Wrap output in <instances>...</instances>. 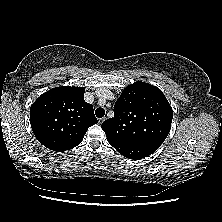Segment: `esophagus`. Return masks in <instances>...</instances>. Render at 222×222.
<instances>
[{
	"label": "esophagus",
	"mask_w": 222,
	"mask_h": 222,
	"mask_svg": "<svg viewBox=\"0 0 222 222\" xmlns=\"http://www.w3.org/2000/svg\"><path fill=\"white\" fill-rule=\"evenodd\" d=\"M105 119H106L105 117L100 118V119H99V123H100V124L103 123V122L105 121Z\"/></svg>",
	"instance_id": "34e87169"
}]
</instances>
